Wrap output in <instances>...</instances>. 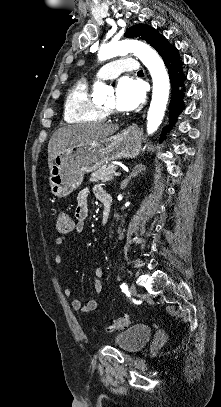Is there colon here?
<instances>
[{
    "label": "colon",
    "instance_id": "colon-1",
    "mask_svg": "<svg viewBox=\"0 0 221 407\" xmlns=\"http://www.w3.org/2000/svg\"><path fill=\"white\" fill-rule=\"evenodd\" d=\"M73 228V221L70 215L66 212H60L56 219V230L59 234L65 235L69 233ZM129 324L128 315L123 314L117 318H115L111 325L109 326V330H118L127 327Z\"/></svg>",
    "mask_w": 221,
    "mask_h": 407
}]
</instances>
